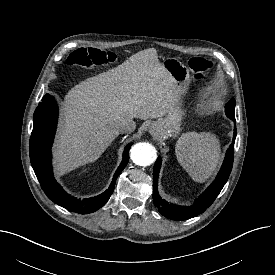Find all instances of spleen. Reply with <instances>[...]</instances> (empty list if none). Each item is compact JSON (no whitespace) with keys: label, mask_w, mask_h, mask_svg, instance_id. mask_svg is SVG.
<instances>
[{"label":"spleen","mask_w":275,"mask_h":275,"mask_svg":"<svg viewBox=\"0 0 275 275\" xmlns=\"http://www.w3.org/2000/svg\"><path fill=\"white\" fill-rule=\"evenodd\" d=\"M220 155L219 140L209 132L184 134L176 145L178 162L197 182H204L214 173Z\"/></svg>","instance_id":"obj_1"}]
</instances>
